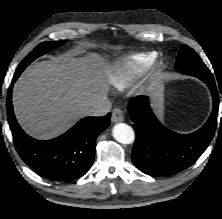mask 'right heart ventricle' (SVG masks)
Here are the masks:
<instances>
[{
    "instance_id": "1",
    "label": "right heart ventricle",
    "mask_w": 222,
    "mask_h": 219,
    "mask_svg": "<svg viewBox=\"0 0 222 219\" xmlns=\"http://www.w3.org/2000/svg\"><path fill=\"white\" fill-rule=\"evenodd\" d=\"M156 56V53H148L143 57L124 56L107 69V79L112 86L121 89L135 77L141 66L153 62Z\"/></svg>"
}]
</instances>
